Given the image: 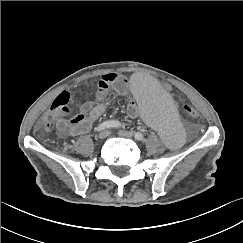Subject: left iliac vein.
Listing matches in <instances>:
<instances>
[{"label": "left iliac vein", "mask_w": 243, "mask_h": 243, "mask_svg": "<svg viewBox=\"0 0 243 243\" xmlns=\"http://www.w3.org/2000/svg\"><path fill=\"white\" fill-rule=\"evenodd\" d=\"M118 134L120 136H123V137H127V138H132L134 136V133L131 132V131H126V130H119L118 131Z\"/></svg>", "instance_id": "4c4485c4"}]
</instances>
